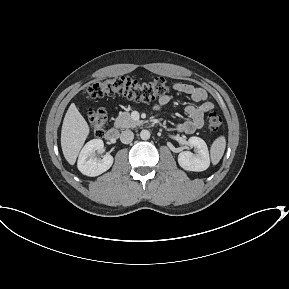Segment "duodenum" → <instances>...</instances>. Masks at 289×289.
<instances>
[{
  "label": "duodenum",
  "instance_id": "1",
  "mask_svg": "<svg viewBox=\"0 0 289 289\" xmlns=\"http://www.w3.org/2000/svg\"><path fill=\"white\" fill-rule=\"evenodd\" d=\"M119 137V131L116 128H110L105 133V139L111 143L115 142Z\"/></svg>",
  "mask_w": 289,
  "mask_h": 289
}]
</instances>
